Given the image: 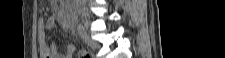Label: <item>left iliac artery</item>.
Masks as SVG:
<instances>
[{
    "label": "left iliac artery",
    "mask_w": 225,
    "mask_h": 58,
    "mask_svg": "<svg viewBox=\"0 0 225 58\" xmlns=\"http://www.w3.org/2000/svg\"><path fill=\"white\" fill-rule=\"evenodd\" d=\"M78 33L80 35H84L86 33V29H85V26H83L82 24H79L78 25Z\"/></svg>",
    "instance_id": "44dca946"
}]
</instances>
